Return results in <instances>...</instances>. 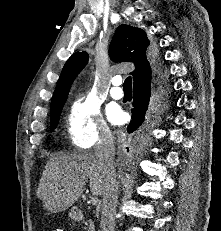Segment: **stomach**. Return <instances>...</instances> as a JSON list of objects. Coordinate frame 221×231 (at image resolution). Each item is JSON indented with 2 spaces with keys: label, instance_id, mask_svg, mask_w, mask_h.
I'll list each match as a JSON object with an SVG mask.
<instances>
[{
  "label": "stomach",
  "instance_id": "obj_1",
  "mask_svg": "<svg viewBox=\"0 0 221 231\" xmlns=\"http://www.w3.org/2000/svg\"><path fill=\"white\" fill-rule=\"evenodd\" d=\"M69 217H70L71 219H74V218H75V214H74L73 211H71V212L69 213Z\"/></svg>",
  "mask_w": 221,
  "mask_h": 231
}]
</instances>
